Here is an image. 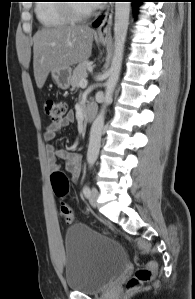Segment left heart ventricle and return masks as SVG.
Instances as JSON below:
<instances>
[{"mask_svg": "<svg viewBox=\"0 0 195 299\" xmlns=\"http://www.w3.org/2000/svg\"><path fill=\"white\" fill-rule=\"evenodd\" d=\"M77 4V8L80 11H89L91 9L90 4L88 3H76Z\"/></svg>", "mask_w": 195, "mask_h": 299, "instance_id": "1", "label": "left heart ventricle"}]
</instances>
